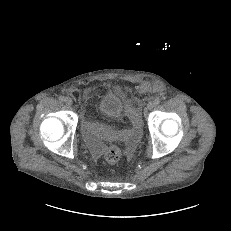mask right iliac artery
<instances>
[{
	"label": "right iliac artery",
	"mask_w": 231,
	"mask_h": 231,
	"mask_svg": "<svg viewBox=\"0 0 231 231\" xmlns=\"http://www.w3.org/2000/svg\"><path fill=\"white\" fill-rule=\"evenodd\" d=\"M59 100H61L62 102L66 100V98L64 96H60Z\"/></svg>",
	"instance_id": "82829eb1"
}]
</instances>
